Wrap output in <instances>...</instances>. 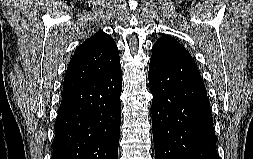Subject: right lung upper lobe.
Returning <instances> with one entry per match:
<instances>
[{
  "label": "right lung upper lobe",
  "mask_w": 253,
  "mask_h": 159,
  "mask_svg": "<svg viewBox=\"0 0 253 159\" xmlns=\"http://www.w3.org/2000/svg\"><path fill=\"white\" fill-rule=\"evenodd\" d=\"M119 66V52L112 37L103 31L96 32L72 56L64 78L63 95L111 73Z\"/></svg>",
  "instance_id": "obj_1"
}]
</instances>
